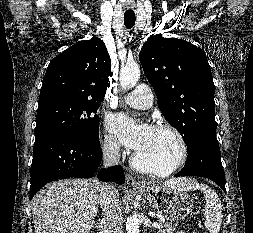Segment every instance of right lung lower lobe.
<instances>
[{"instance_id":"obj_1","label":"right lung lower lobe","mask_w":253,"mask_h":233,"mask_svg":"<svg viewBox=\"0 0 253 233\" xmlns=\"http://www.w3.org/2000/svg\"><path fill=\"white\" fill-rule=\"evenodd\" d=\"M102 160L99 140L87 142L63 133L36 136L31 165L30 200L45 184L58 179L91 178ZM101 181L125 182L121 166L101 169Z\"/></svg>"}]
</instances>
